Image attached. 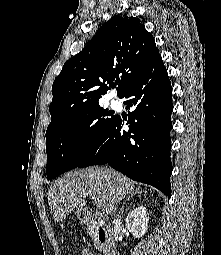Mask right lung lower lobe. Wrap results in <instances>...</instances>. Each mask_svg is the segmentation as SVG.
I'll return each mask as SVG.
<instances>
[{
	"mask_svg": "<svg viewBox=\"0 0 221 255\" xmlns=\"http://www.w3.org/2000/svg\"><path fill=\"white\" fill-rule=\"evenodd\" d=\"M172 87L161 56L131 85L121 98L127 100V124L119 116L78 167L109 164L129 178L150 184L170 197V130Z\"/></svg>",
	"mask_w": 221,
	"mask_h": 255,
	"instance_id": "98d812e1",
	"label": "right lung lower lobe"
}]
</instances>
